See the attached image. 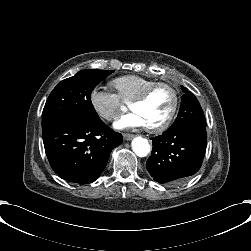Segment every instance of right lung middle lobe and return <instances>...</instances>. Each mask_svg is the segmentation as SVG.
Segmentation results:
<instances>
[{
    "label": "right lung middle lobe",
    "mask_w": 251,
    "mask_h": 251,
    "mask_svg": "<svg viewBox=\"0 0 251 251\" xmlns=\"http://www.w3.org/2000/svg\"><path fill=\"white\" fill-rule=\"evenodd\" d=\"M114 70H82L61 81L50 93L42 113V130L67 118L101 120L91 103V92Z\"/></svg>",
    "instance_id": "right-lung-middle-lobe-1"
}]
</instances>
